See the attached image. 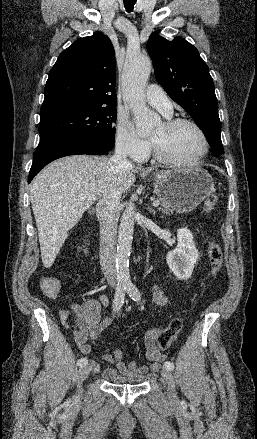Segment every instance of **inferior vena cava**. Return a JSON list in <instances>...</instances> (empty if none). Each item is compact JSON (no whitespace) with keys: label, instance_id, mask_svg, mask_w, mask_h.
Listing matches in <instances>:
<instances>
[{"label":"inferior vena cava","instance_id":"obj_1","mask_svg":"<svg viewBox=\"0 0 257 439\" xmlns=\"http://www.w3.org/2000/svg\"><path fill=\"white\" fill-rule=\"evenodd\" d=\"M111 162L124 169H132L127 155L121 149H116ZM121 192L110 190L96 205V215L100 222V264L101 269L110 286H116V236L118 223V206Z\"/></svg>","mask_w":257,"mask_h":439}]
</instances>
